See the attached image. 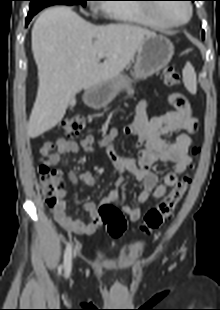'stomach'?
Instances as JSON below:
<instances>
[{"label": "stomach", "mask_w": 220, "mask_h": 310, "mask_svg": "<svg viewBox=\"0 0 220 310\" xmlns=\"http://www.w3.org/2000/svg\"><path fill=\"white\" fill-rule=\"evenodd\" d=\"M174 54V46L162 35L147 37L137 50L133 77L146 79L166 67ZM128 82L125 76L102 82L89 88L84 95L85 102L92 107L100 108L110 103L116 94Z\"/></svg>", "instance_id": "0dacf381"}]
</instances>
